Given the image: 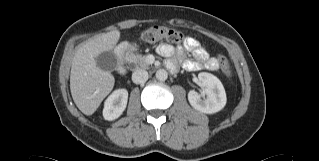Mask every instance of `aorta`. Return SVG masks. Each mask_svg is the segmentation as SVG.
Segmentation results:
<instances>
[{
	"mask_svg": "<svg viewBox=\"0 0 319 161\" xmlns=\"http://www.w3.org/2000/svg\"><path fill=\"white\" fill-rule=\"evenodd\" d=\"M156 78L160 81H165L168 78V73L164 69H159L156 72Z\"/></svg>",
	"mask_w": 319,
	"mask_h": 161,
	"instance_id": "1",
	"label": "aorta"
}]
</instances>
